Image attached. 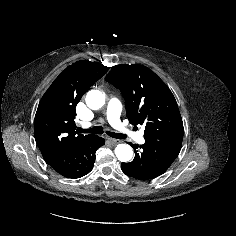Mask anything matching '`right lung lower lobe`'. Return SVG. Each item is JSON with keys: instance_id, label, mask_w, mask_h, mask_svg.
<instances>
[{"instance_id": "right-lung-lower-lobe-1", "label": "right lung lower lobe", "mask_w": 236, "mask_h": 236, "mask_svg": "<svg viewBox=\"0 0 236 236\" xmlns=\"http://www.w3.org/2000/svg\"><path fill=\"white\" fill-rule=\"evenodd\" d=\"M105 144V140L94 135L78 146L49 156L45 161L58 174L66 178H80L88 174L94 165L96 150Z\"/></svg>"}]
</instances>
